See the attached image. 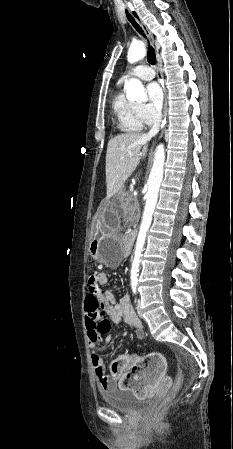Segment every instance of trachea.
<instances>
[{
    "label": "trachea",
    "mask_w": 233,
    "mask_h": 449,
    "mask_svg": "<svg viewBox=\"0 0 233 449\" xmlns=\"http://www.w3.org/2000/svg\"><path fill=\"white\" fill-rule=\"evenodd\" d=\"M126 16L129 22L133 25V27L140 33L143 34V29L140 27V25L135 21V19L132 17V15L126 10ZM147 60L150 64L154 65L156 62V55L155 50L152 46L149 45L148 47V54H147Z\"/></svg>",
    "instance_id": "obj_1"
}]
</instances>
